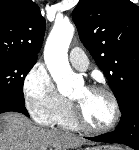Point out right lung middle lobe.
I'll list each match as a JSON object with an SVG mask.
<instances>
[{"label":"right lung middle lobe","mask_w":139,"mask_h":150,"mask_svg":"<svg viewBox=\"0 0 139 150\" xmlns=\"http://www.w3.org/2000/svg\"><path fill=\"white\" fill-rule=\"evenodd\" d=\"M36 60L0 52V95L24 101V79Z\"/></svg>","instance_id":"right-lung-middle-lobe-1"}]
</instances>
